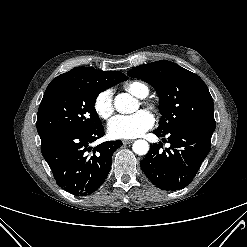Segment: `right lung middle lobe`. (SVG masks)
Here are the masks:
<instances>
[{
  "instance_id": "right-lung-middle-lobe-1",
  "label": "right lung middle lobe",
  "mask_w": 247,
  "mask_h": 247,
  "mask_svg": "<svg viewBox=\"0 0 247 247\" xmlns=\"http://www.w3.org/2000/svg\"><path fill=\"white\" fill-rule=\"evenodd\" d=\"M110 88L101 82L66 80L48 86L39 105L40 138L64 131H88L102 125L94 104L99 93Z\"/></svg>"
}]
</instances>
